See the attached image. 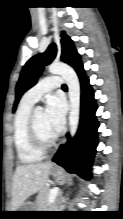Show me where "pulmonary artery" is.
<instances>
[{"instance_id":"1","label":"pulmonary artery","mask_w":123,"mask_h":219,"mask_svg":"<svg viewBox=\"0 0 123 219\" xmlns=\"http://www.w3.org/2000/svg\"><path fill=\"white\" fill-rule=\"evenodd\" d=\"M62 78L59 76L45 77L39 81L35 86L30 88L23 96L22 100L35 104L47 92L61 87Z\"/></svg>"}]
</instances>
